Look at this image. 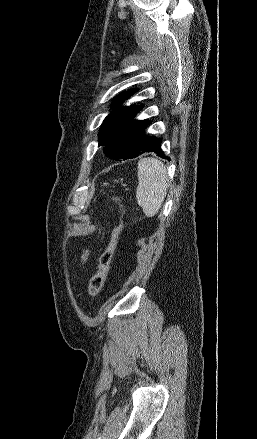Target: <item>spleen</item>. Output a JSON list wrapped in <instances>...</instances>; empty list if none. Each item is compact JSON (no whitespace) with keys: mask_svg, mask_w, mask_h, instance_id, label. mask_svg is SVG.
<instances>
[{"mask_svg":"<svg viewBox=\"0 0 257 439\" xmlns=\"http://www.w3.org/2000/svg\"><path fill=\"white\" fill-rule=\"evenodd\" d=\"M136 199L147 217L155 216L167 194L169 179L164 164L156 158L138 162Z\"/></svg>","mask_w":257,"mask_h":439,"instance_id":"3e777b00","label":"spleen"}]
</instances>
